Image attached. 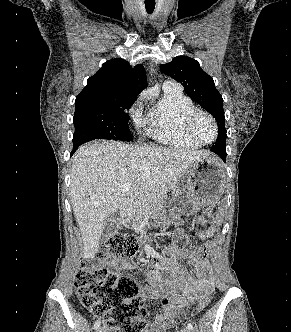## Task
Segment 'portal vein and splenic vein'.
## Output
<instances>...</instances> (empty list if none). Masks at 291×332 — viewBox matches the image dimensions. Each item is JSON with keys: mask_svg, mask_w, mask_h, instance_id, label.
<instances>
[{"mask_svg": "<svg viewBox=\"0 0 291 332\" xmlns=\"http://www.w3.org/2000/svg\"><path fill=\"white\" fill-rule=\"evenodd\" d=\"M132 183L131 182H126L122 185V188L124 191H128L131 187Z\"/></svg>", "mask_w": 291, "mask_h": 332, "instance_id": "18ae733b", "label": "portal vein and splenic vein"}]
</instances>
